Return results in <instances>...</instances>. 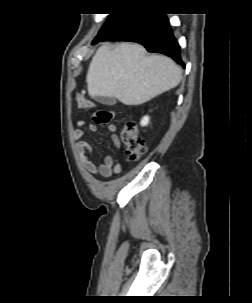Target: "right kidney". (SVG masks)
<instances>
[{"label":"right kidney","mask_w":252,"mask_h":303,"mask_svg":"<svg viewBox=\"0 0 252 303\" xmlns=\"http://www.w3.org/2000/svg\"><path fill=\"white\" fill-rule=\"evenodd\" d=\"M149 123V117L145 116L141 120V126H146Z\"/></svg>","instance_id":"ca27d5eb"}]
</instances>
